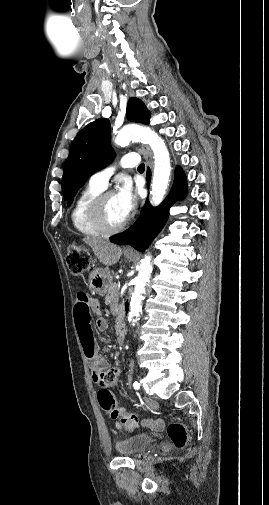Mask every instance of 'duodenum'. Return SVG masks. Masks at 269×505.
I'll list each match as a JSON object with an SVG mask.
<instances>
[{
    "label": "duodenum",
    "instance_id": "obj_1",
    "mask_svg": "<svg viewBox=\"0 0 269 505\" xmlns=\"http://www.w3.org/2000/svg\"><path fill=\"white\" fill-rule=\"evenodd\" d=\"M126 334V323L123 317H120L116 324V335L119 341H123Z\"/></svg>",
    "mask_w": 269,
    "mask_h": 505
}]
</instances>
